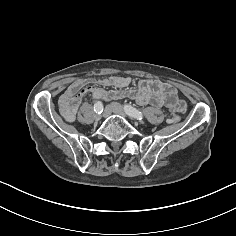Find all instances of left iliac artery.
<instances>
[{
  "instance_id": "1",
  "label": "left iliac artery",
  "mask_w": 236,
  "mask_h": 236,
  "mask_svg": "<svg viewBox=\"0 0 236 236\" xmlns=\"http://www.w3.org/2000/svg\"><path fill=\"white\" fill-rule=\"evenodd\" d=\"M125 112L130 116L137 120L143 119V114L136 108L132 107L131 105H124Z\"/></svg>"
}]
</instances>
